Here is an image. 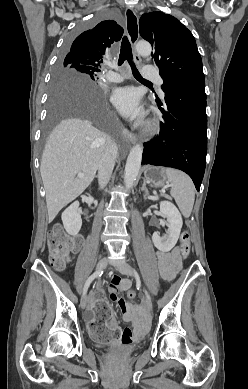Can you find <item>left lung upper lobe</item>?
Returning <instances> with one entry per match:
<instances>
[{"label":"left lung upper lobe","mask_w":248,"mask_h":389,"mask_svg":"<svg viewBox=\"0 0 248 389\" xmlns=\"http://www.w3.org/2000/svg\"><path fill=\"white\" fill-rule=\"evenodd\" d=\"M139 30L154 48L152 57L164 81V92L184 79L204 77L195 39L175 17L159 11L145 13L140 18Z\"/></svg>","instance_id":"left-lung-upper-lobe-1"}]
</instances>
